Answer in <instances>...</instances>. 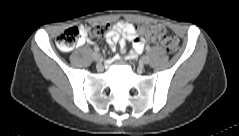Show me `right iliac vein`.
<instances>
[{
    "label": "right iliac vein",
    "instance_id": "1",
    "mask_svg": "<svg viewBox=\"0 0 239 136\" xmlns=\"http://www.w3.org/2000/svg\"><path fill=\"white\" fill-rule=\"evenodd\" d=\"M93 59L95 61H100L101 60V55L98 52H94L93 53ZM98 66H99V64H98Z\"/></svg>",
    "mask_w": 239,
    "mask_h": 136
}]
</instances>
